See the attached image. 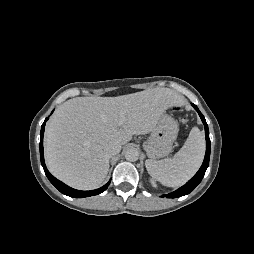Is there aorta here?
Returning a JSON list of instances; mask_svg holds the SVG:
<instances>
[{
  "instance_id": "obj_1",
  "label": "aorta",
  "mask_w": 254,
  "mask_h": 254,
  "mask_svg": "<svg viewBox=\"0 0 254 254\" xmlns=\"http://www.w3.org/2000/svg\"><path fill=\"white\" fill-rule=\"evenodd\" d=\"M124 156H125L126 160L134 162V161L138 160L139 152H138V150H136L134 148H130V149L126 150Z\"/></svg>"
}]
</instances>
